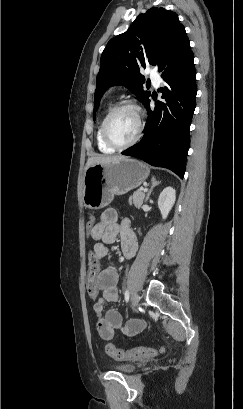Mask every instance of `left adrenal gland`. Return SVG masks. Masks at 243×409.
<instances>
[{
  "label": "left adrenal gland",
  "instance_id": "1",
  "mask_svg": "<svg viewBox=\"0 0 243 409\" xmlns=\"http://www.w3.org/2000/svg\"><path fill=\"white\" fill-rule=\"evenodd\" d=\"M159 184H160V182L157 181L156 178L153 177L152 180H151L150 190L148 191L147 196H146V201L149 199V197H150V195H151L153 189H154L156 186H158Z\"/></svg>",
  "mask_w": 243,
  "mask_h": 409
}]
</instances>
